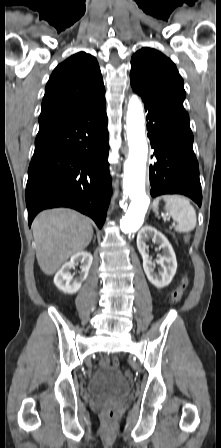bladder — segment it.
Masks as SVG:
<instances>
[{
  "label": "bladder",
  "instance_id": "1",
  "mask_svg": "<svg viewBox=\"0 0 221 448\" xmlns=\"http://www.w3.org/2000/svg\"><path fill=\"white\" fill-rule=\"evenodd\" d=\"M86 389L94 398L117 400L128 395L130 384L119 369L103 367L92 375Z\"/></svg>",
  "mask_w": 221,
  "mask_h": 448
}]
</instances>
